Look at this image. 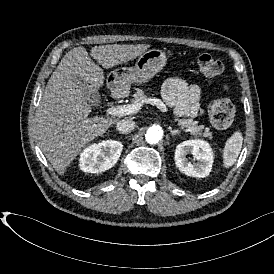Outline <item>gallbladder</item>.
Returning <instances> with one entry per match:
<instances>
[{"label": "gallbladder", "mask_w": 274, "mask_h": 274, "mask_svg": "<svg viewBox=\"0 0 274 274\" xmlns=\"http://www.w3.org/2000/svg\"><path fill=\"white\" fill-rule=\"evenodd\" d=\"M69 82L71 85L78 88L83 98L93 106L100 105L105 98L104 92L98 88L86 77L81 71H73L69 75Z\"/></svg>", "instance_id": "1"}]
</instances>
